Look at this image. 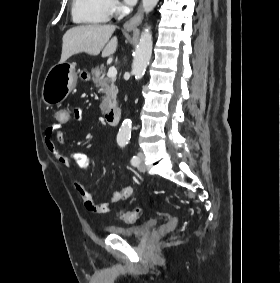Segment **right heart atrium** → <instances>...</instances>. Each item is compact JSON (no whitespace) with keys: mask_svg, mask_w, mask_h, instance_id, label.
I'll return each mask as SVG.
<instances>
[{"mask_svg":"<svg viewBox=\"0 0 280 283\" xmlns=\"http://www.w3.org/2000/svg\"><path fill=\"white\" fill-rule=\"evenodd\" d=\"M107 7L110 14H117L121 11V5L116 0H107Z\"/></svg>","mask_w":280,"mask_h":283,"instance_id":"right-heart-atrium-1","label":"right heart atrium"}]
</instances>
